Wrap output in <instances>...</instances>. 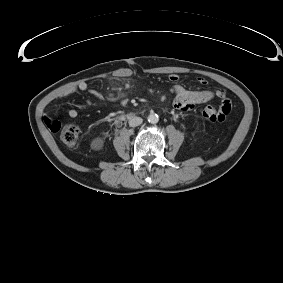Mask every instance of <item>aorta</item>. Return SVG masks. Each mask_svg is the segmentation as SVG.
I'll use <instances>...</instances> for the list:
<instances>
[{"instance_id": "762f6f07", "label": "aorta", "mask_w": 283, "mask_h": 283, "mask_svg": "<svg viewBox=\"0 0 283 283\" xmlns=\"http://www.w3.org/2000/svg\"><path fill=\"white\" fill-rule=\"evenodd\" d=\"M159 121V116L156 113H150L148 116V122L151 124H156Z\"/></svg>"}]
</instances>
